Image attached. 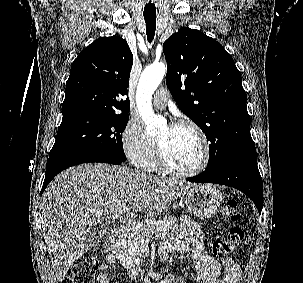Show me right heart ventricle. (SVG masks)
I'll return each instance as SVG.
<instances>
[{"label": "right heart ventricle", "mask_w": 303, "mask_h": 283, "mask_svg": "<svg viewBox=\"0 0 303 283\" xmlns=\"http://www.w3.org/2000/svg\"><path fill=\"white\" fill-rule=\"evenodd\" d=\"M143 167L146 170H148V171H155V170H157L159 168V166H158L156 154H154L150 158V160L145 165H143Z\"/></svg>", "instance_id": "e07e8e85"}]
</instances>
